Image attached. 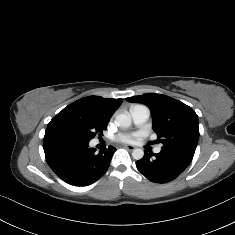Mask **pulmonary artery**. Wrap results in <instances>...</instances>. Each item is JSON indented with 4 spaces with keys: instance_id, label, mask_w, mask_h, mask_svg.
Instances as JSON below:
<instances>
[{
    "instance_id": "1",
    "label": "pulmonary artery",
    "mask_w": 235,
    "mask_h": 235,
    "mask_svg": "<svg viewBox=\"0 0 235 235\" xmlns=\"http://www.w3.org/2000/svg\"><path fill=\"white\" fill-rule=\"evenodd\" d=\"M130 113L133 118V122L137 127H142L144 126L147 121L149 120L150 117V109L146 105L138 104V105H133L130 108ZM161 147L157 146L155 148V152H160Z\"/></svg>"
}]
</instances>
